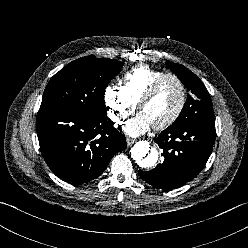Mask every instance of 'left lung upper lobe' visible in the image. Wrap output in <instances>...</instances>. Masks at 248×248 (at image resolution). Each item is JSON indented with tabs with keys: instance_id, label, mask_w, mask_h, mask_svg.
Listing matches in <instances>:
<instances>
[{
	"instance_id": "5c2ea615",
	"label": "left lung upper lobe",
	"mask_w": 248,
	"mask_h": 248,
	"mask_svg": "<svg viewBox=\"0 0 248 248\" xmlns=\"http://www.w3.org/2000/svg\"><path fill=\"white\" fill-rule=\"evenodd\" d=\"M165 64L189 90L187 101L180 115L171 126L177 127L197 122L214 121L211 98L203 82L181 64L173 62H166Z\"/></svg>"
}]
</instances>
